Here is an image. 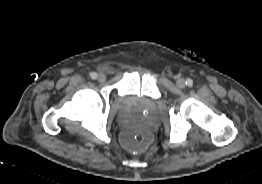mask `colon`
Instances as JSON below:
<instances>
[{"label":"colon","mask_w":262,"mask_h":184,"mask_svg":"<svg viewBox=\"0 0 262 184\" xmlns=\"http://www.w3.org/2000/svg\"><path fill=\"white\" fill-rule=\"evenodd\" d=\"M149 140L145 132H127L122 137V144L128 150L140 151L149 144Z\"/></svg>","instance_id":"colon-1"}]
</instances>
